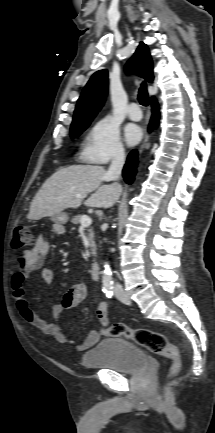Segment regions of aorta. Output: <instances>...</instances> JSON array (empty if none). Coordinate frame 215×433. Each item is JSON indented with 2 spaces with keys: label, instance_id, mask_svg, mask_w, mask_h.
<instances>
[{
  "label": "aorta",
  "instance_id": "1",
  "mask_svg": "<svg viewBox=\"0 0 215 433\" xmlns=\"http://www.w3.org/2000/svg\"><path fill=\"white\" fill-rule=\"evenodd\" d=\"M105 270H104V276H103V283L105 285H109L111 283V269L108 263H105Z\"/></svg>",
  "mask_w": 215,
  "mask_h": 433
}]
</instances>
